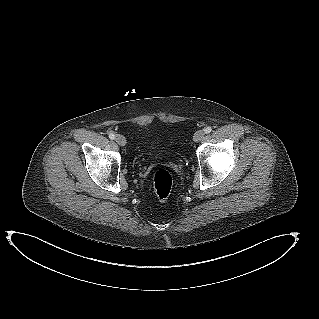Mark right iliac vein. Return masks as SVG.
Instances as JSON below:
<instances>
[{
    "instance_id": "63e3f726",
    "label": "right iliac vein",
    "mask_w": 319,
    "mask_h": 319,
    "mask_svg": "<svg viewBox=\"0 0 319 319\" xmlns=\"http://www.w3.org/2000/svg\"><path fill=\"white\" fill-rule=\"evenodd\" d=\"M116 142L118 145L120 146H125L126 145V138L122 135H117V137L115 138Z\"/></svg>"
}]
</instances>
